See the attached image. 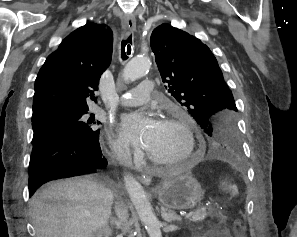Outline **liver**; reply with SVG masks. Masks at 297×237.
I'll return each instance as SVG.
<instances>
[{
    "mask_svg": "<svg viewBox=\"0 0 297 237\" xmlns=\"http://www.w3.org/2000/svg\"><path fill=\"white\" fill-rule=\"evenodd\" d=\"M114 193L88 177L49 183L30 202L36 237H92L107 228Z\"/></svg>",
    "mask_w": 297,
    "mask_h": 237,
    "instance_id": "1",
    "label": "liver"
}]
</instances>
